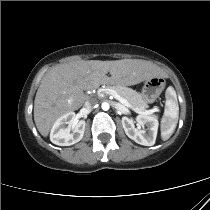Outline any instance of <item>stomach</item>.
Returning <instances> with one entry per match:
<instances>
[{"label":"stomach","mask_w":210,"mask_h":210,"mask_svg":"<svg viewBox=\"0 0 210 210\" xmlns=\"http://www.w3.org/2000/svg\"><path fill=\"white\" fill-rule=\"evenodd\" d=\"M166 85L162 77H153L145 81L142 97L146 103H153L162 93Z\"/></svg>","instance_id":"obj_1"}]
</instances>
